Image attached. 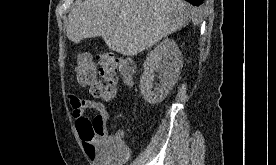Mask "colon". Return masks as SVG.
Wrapping results in <instances>:
<instances>
[{"label":"colon","mask_w":276,"mask_h":165,"mask_svg":"<svg viewBox=\"0 0 276 165\" xmlns=\"http://www.w3.org/2000/svg\"><path fill=\"white\" fill-rule=\"evenodd\" d=\"M76 72L79 83L86 86L92 96L110 100L116 94L119 76L127 84L132 82L134 66L129 60L111 52H102L96 61L91 54L82 52L77 56ZM77 127L81 139L88 146L103 138L100 124L87 117L81 118ZM106 142L110 151L122 154L115 140L107 138Z\"/></svg>","instance_id":"obj_1"}]
</instances>
